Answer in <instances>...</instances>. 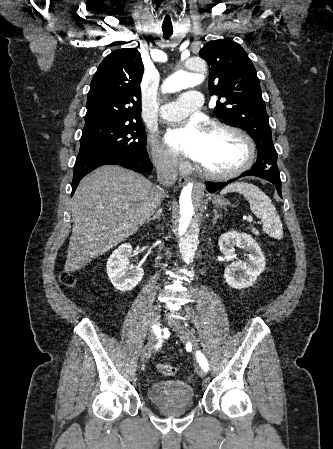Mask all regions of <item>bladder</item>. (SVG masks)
<instances>
[{
  "label": "bladder",
  "instance_id": "bladder-1",
  "mask_svg": "<svg viewBox=\"0 0 333 449\" xmlns=\"http://www.w3.org/2000/svg\"><path fill=\"white\" fill-rule=\"evenodd\" d=\"M194 390L181 380H163L149 385L147 398L157 407L188 406L193 403Z\"/></svg>",
  "mask_w": 333,
  "mask_h": 449
}]
</instances>
